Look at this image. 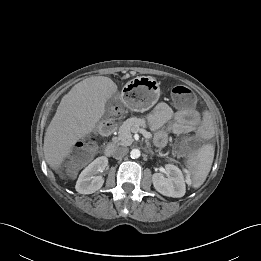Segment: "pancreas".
Wrapping results in <instances>:
<instances>
[{
  "label": "pancreas",
  "instance_id": "cf45deb5",
  "mask_svg": "<svg viewBox=\"0 0 261 261\" xmlns=\"http://www.w3.org/2000/svg\"><path fill=\"white\" fill-rule=\"evenodd\" d=\"M144 118L132 117L123 122L119 127L118 136L113 138L115 144L128 146L133 142L132 133H136L140 128H146Z\"/></svg>",
  "mask_w": 261,
  "mask_h": 261
}]
</instances>
